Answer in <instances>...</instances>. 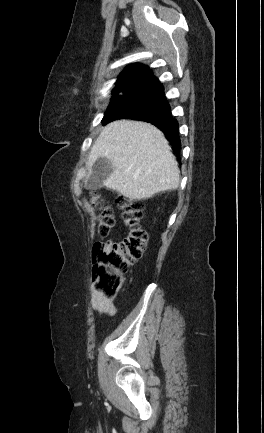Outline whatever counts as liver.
I'll return each mask as SVG.
<instances>
[{
	"label": "liver",
	"instance_id": "6515ba94",
	"mask_svg": "<svg viewBox=\"0 0 264 433\" xmlns=\"http://www.w3.org/2000/svg\"><path fill=\"white\" fill-rule=\"evenodd\" d=\"M164 134L139 121L116 120L106 125L94 141L87 162L91 168L98 158H106L113 172L104 185L131 200L175 190L180 171Z\"/></svg>",
	"mask_w": 264,
	"mask_h": 433
}]
</instances>
